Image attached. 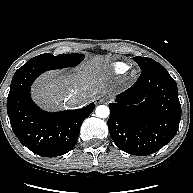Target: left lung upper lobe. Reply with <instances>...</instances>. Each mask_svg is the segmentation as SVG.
Segmentation results:
<instances>
[{"mask_svg":"<svg viewBox=\"0 0 193 193\" xmlns=\"http://www.w3.org/2000/svg\"><path fill=\"white\" fill-rule=\"evenodd\" d=\"M137 64L140 66L141 70H145L147 68H150L156 64H158V62H156L155 60L151 59V58H147V57H134L133 58Z\"/></svg>","mask_w":193,"mask_h":193,"instance_id":"left-lung-upper-lobe-1","label":"left lung upper lobe"}]
</instances>
